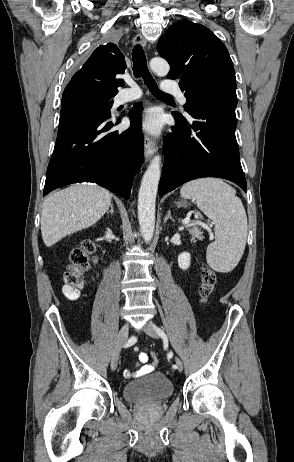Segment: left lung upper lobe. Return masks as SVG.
Returning <instances> with one entry per match:
<instances>
[{
  "label": "left lung upper lobe",
  "mask_w": 294,
  "mask_h": 462,
  "mask_svg": "<svg viewBox=\"0 0 294 462\" xmlns=\"http://www.w3.org/2000/svg\"><path fill=\"white\" fill-rule=\"evenodd\" d=\"M157 50L170 64L169 79H180L188 113L212 100L237 103L235 70L227 48L211 30L179 20L161 36ZM184 118L179 113H174Z\"/></svg>",
  "instance_id": "obj_1"
}]
</instances>
